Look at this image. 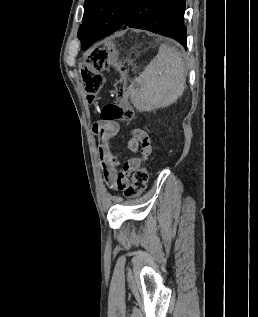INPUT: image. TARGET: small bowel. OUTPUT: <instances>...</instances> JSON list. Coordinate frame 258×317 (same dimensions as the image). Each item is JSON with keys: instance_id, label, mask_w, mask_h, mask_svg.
<instances>
[{"instance_id": "c3829d8e", "label": "small bowel", "mask_w": 258, "mask_h": 317, "mask_svg": "<svg viewBox=\"0 0 258 317\" xmlns=\"http://www.w3.org/2000/svg\"><path fill=\"white\" fill-rule=\"evenodd\" d=\"M93 132L98 138L99 158L105 181L115 190L125 189L130 173L139 169L150 158L154 149L153 138L139 128L130 129L123 134L120 140L127 139L129 150L136 156L126 161L122 169L118 170L119 161L110 145V139L119 133L118 123L99 121L93 125Z\"/></svg>"}]
</instances>
